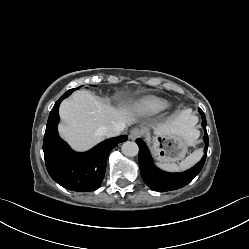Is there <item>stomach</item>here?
<instances>
[{
	"mask_svg": "<svg viewBox=\"0 0 249 249\" xmlns=\"http://www.w3.org/2000/svg\"><path fill=\"white\" fill-rule=\"evenodd\" d=\"M153 155L162 162L175 163L188 152L189 141L181 133H155L151 139Z\"/></svg>",
	"mask_w": 249,
	"mask_h": 249,
	"instance_id": "stomach-1",
	"label": "stomach"
}]
</instances>
